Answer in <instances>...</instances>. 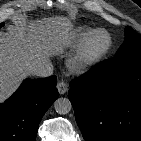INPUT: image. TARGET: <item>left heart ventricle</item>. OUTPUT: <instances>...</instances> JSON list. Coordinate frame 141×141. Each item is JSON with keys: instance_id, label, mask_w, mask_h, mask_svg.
I'll use <instances>...</instances> for the list:
<instances>
[{"instance_id": "obj_1", "label": "left heart ventricle", "mask_w": 141, "mask_h": 141, "mask_svg": "<svg viewBox=\"0 0 141 141\" xmlns=\"http://www.w3.org/2000/svg\"><path fill=\"white\" fill-rule=\"evenodd\" d=\"M106 44V38L104 35H98L94 38L91 43L90 49L91 51H99L101 50Z\"/></svg>"}]
</instances>
